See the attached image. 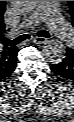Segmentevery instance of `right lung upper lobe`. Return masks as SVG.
<instances>
[{"instance_id":"1","label":"right lung upper lobe","mask_w":74,"mask_h":122,"mask_svg":"<svg viewBox=\"0 0 74 122\" xmlns=\"http://www.w3.org/2000/svg\"><path fill=\"white\" fill-rule=\"evenodd\" d=\"M5 1H0V75L9 71L13 66L17 58L18 49L16 47L3 45V33L5 30V24L3 20V15L5 11Z\"/></svg>"}]
</instances>
